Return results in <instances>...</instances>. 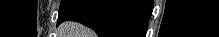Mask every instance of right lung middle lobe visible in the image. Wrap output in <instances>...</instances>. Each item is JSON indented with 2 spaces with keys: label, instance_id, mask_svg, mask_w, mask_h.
Wrapping results in <instances>:
<instances>
[{
  "label": "right lung middle lobe",
  "instance_id": "obj_1",
  "mask_svg": "<svg viewBox=\"0 0 219 37\" xmlns=\"http://www.w3.org/2000/svg\"><path fill=\"white\" fill-rule=\"evenodd\" d=\"M74 0H62L61 5H60V9H59V13L65 9L68 5H70Z\"/></svg>",
  "mask_w": 219,
  "mask_h": 37
}]
</instances>
